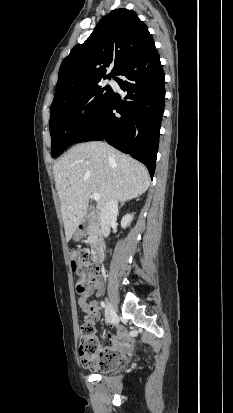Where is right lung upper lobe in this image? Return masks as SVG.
<instances>
[{
    "label": "right lung upper lobe",
    "instance_id": "obj_1",
    "mask_svg": "<svg viewBox=\"0 0 233 413\" xmlns=\"http://www.w3.org/2000/svg\"><path fill=\"white\" fill-rule=\"evenodd\" d=\"M152 42L147 26L134 11L125 8L111 11L61 63L53 102L115 76L125 62ZM109 67L112 70L105 76Z\"/></svg>",
    "mask_w": 233,
    "mask_h": 413
}]
</instances>
